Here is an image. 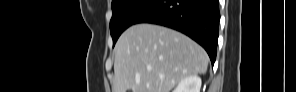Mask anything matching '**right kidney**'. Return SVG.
Wrapping results in <instances>:
<instances>
[{
  "mask_svg": "<svg viewBox=\"0 0 296 92\" xmlns=\"http://www.w3.org/2000/svg\"><path fill=\"white\" fill-rule=\"evenodd\" d=\"M201 78L197 75H191L181 80L173 92H200Z\"/></svg>",
  "mask_w": 296,
  "mask_h": 92,
  "instance_id": "obj_1",
  "label": "right kidney"
}]
</instances>
